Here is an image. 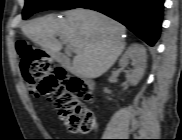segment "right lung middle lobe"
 <instances>
[{
    "label": "right lung middle lobe",
    "instance_id": "1",
    "mask_svg": "<svg viewBox=\"0 0 182 140\" xmlns=\"http://www.w3.org/2000/svg\"><path fill=\"white\" fill-rule=\"evenodd\" d=\"M88 0H26L23 19L44 10H63L80 7Z\"/></svg>",
    "mask_w": 182,
    "mask_h": 140
}]
</instances>
